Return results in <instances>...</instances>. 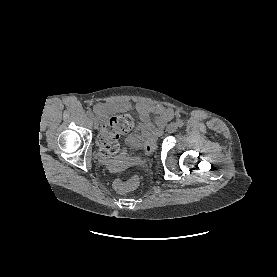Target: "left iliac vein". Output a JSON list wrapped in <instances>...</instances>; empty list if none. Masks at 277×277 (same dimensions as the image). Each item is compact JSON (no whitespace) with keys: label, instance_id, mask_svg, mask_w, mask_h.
<instances>
[{"label":"left iliac vein","instance_id":"1","mask_svg":"<svg viewBox=\"0 0 277 277\" xmlns=\"http://www.w3.org/2000/svg\"><path fill=\"white\" fill-rule=\"evenodd\" d=\"M177 124L176 123H170L169 125H168V127H167V131L169 132V133H174V132H176V130H177Z\"/></svg>","mask_w":277,"mask_h":277}]
</instances>
